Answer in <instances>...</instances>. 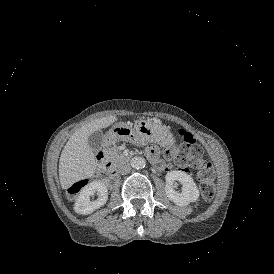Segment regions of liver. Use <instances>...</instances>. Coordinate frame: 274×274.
<instances>
[{"label": "liver", "instance_id": "6515ba94", "mask_svg": "<svg viewBox=\"0 0 274 274\" xmlns=\"http://www.w3.org/2000/svg\"><path fill=\"white\" fill-rule=\"evenodd\" d=\"M117 120L115 116L95 119L76 130L64 146L59 159V179L62 189L91 178L97 167V159L88 144L89 136L106 128Z\"/></svg>", "mask_w": 274, "mask_h": 274}]
</instances>
